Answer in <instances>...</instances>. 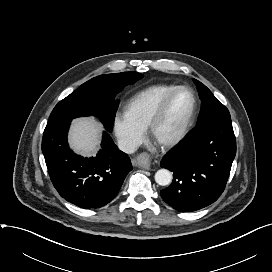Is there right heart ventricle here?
I'll list each match as a JSON object with an SVG mask.
<instances>
[{
    "label": "right heart ventricle",
    "instance_id": "e07e8e85",
    "mask_svg": "<svg viewBox=\"0 0 272 272\" xmlns=\"http://www.w3.org/2000/svg\"><path fill=\"white\" fill-rule=\"evenodd\" d=\"M174 84H157L135 94L126 105L127 115L140 127L147 129L163 99L175 88Z\"/></svg>",
    "mask_w": 272,
    "mask_h": 272
}]
</instances>
